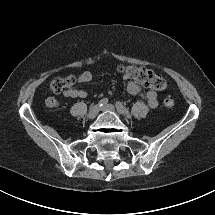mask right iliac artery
<instances>
[{
  "label": "right iliac artery",
  "instance_id": "82829eb1",
  "mask_svg": "<svg viewBox=\"0 0 215 215\" xmlns=\"http://www.w3.org/2000/svg\"><path fill=\"white\" fill-rule=\"evenodd\" d=\"M108 103V98H103L98 102L99 107L104 106Z\"/></svg>",
  "mask_w": 215,
  "mask_h": 215
}]
</instances>
